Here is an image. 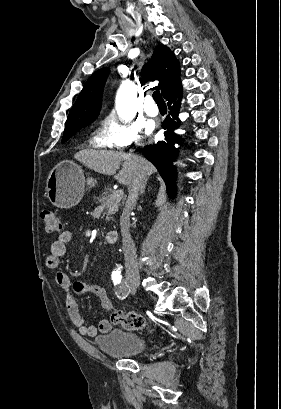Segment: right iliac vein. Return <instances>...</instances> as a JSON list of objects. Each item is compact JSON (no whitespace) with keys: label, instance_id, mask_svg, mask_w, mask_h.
<instances>
[{"label":"right iliac vein","instance_id":"right-iliac-vein-1","mask_svg":"<svg viewBox=\"0 0 281 409\" xmlns=\"http://www.w3.org/2000/svg\"><path fill=\"white\" fill-rule=\"evenodd\" d=\"M138 287H139V284H137L135 282L130 284V288L133 289V290H136Z\"/></svg>","mask_w":281,"mask_h":409}]
</instances>
